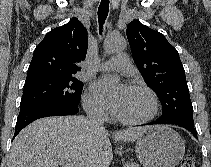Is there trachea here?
I'll list each match as a JSON object with an SVG mask.
<instances>
[{"label":"trachea","instance_id":"trachea-1","mask_svg":"<svg viewBox=\"0 0 211 167\" xmlns=\"http://www.w3.org/2000/svg\"><path fill=\"white\" fill-rule=\"evenodd\" d=\"M109 12V0H101L98 8V21L100 27V33H102V26L107 18Z\"/></svg>","mask_w":211,"mask_h":167}]
</instances>
